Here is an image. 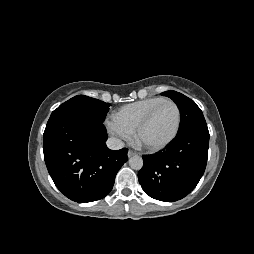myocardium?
I'll list each match as a JSON object with an SVG mask.
<instances>
[{"label": "myocardium", "mask_w": 254, "mask_h": 254, "mask_svg": "<svg viewBox=\"0 0 254 254\" xmlns=\"http://www.w3.org/2000/svg\"><path fill=\"white\" fill-rule=\"evenodd\" d=\"M166 103L172 104L176 108V111H177V122H176V126H175L173 133L166 141H164L161 144L154 145V146L144 144L140 139L142 131L150 123V121L153 119L154 115L160 109V107ZM181 120H182V116H181V109H180L179 105L171 99H165V100L161 101L160 103H158L156 106H154L147 113V115L140 121V123L138 124V126L135 129L136 139L143 145V147L146 150H148L150 152L161 151V150L165 149L167 146H169L176 139V137L179 133L180 127H181Z\"/></svg>", "instance_id": "1"}]
</instances>
